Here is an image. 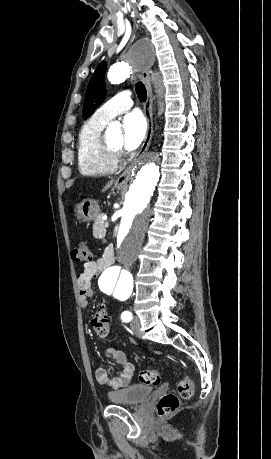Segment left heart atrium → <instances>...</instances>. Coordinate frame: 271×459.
Returning <instances> with one entry per match:
<instances>
[{
    "mask_svg": "<svg viewBox=\"0 0 271 459\" xmlns=\"http://www.w3.org/2000/svg\"><path fill=\"white\" fill-rule=\"evenodd\" d=\"M147 135V122L140 112H131L123 119V146L132 150L138 148Z\"/></svg>",
    "mask_w": 271,
    "mask_h": 459,
    "instance_id": "1",
    "label": "left heart atrium"
}]
</instances>
